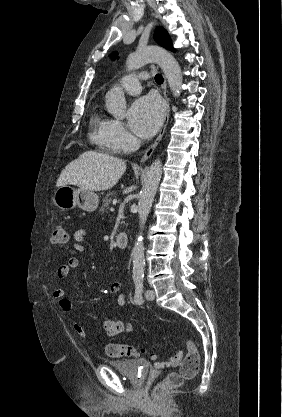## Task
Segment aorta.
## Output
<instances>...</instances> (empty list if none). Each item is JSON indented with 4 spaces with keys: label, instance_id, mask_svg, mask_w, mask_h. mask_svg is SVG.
Returning a JSON list of instances; mask_svg holds the SVG:
<instances>
[{
    "label": "aorta",
    "instance_id": "aorta-1",
    "mask_svg": "<svg viewBox=\"0 0 282 417\" xmlns=\"http://www.w3.org/2000/svg\"><path fill=\"white\" fill-rule=\"evenodd\" d=\"M155 60L162 68L172 90L173 96H180L182 90V72L179 62L174 58L171 52L161 48V46H147V48H137L136 52L129 54L126 60L127 70H136L144 66L146 62ZM105 102L108 112H111L115 118H124L126 112V100L123 88L121 86H112L106 92ZM162 174V162L156 158L152 162L144 180V184L138 196V217L139 233L134 243L132 251V277L133 279H143L145 271L144 257V237L143 231L147 217L150 213L154 196L157 192L159 180Z\"/></svg>",
    "mask_w": 282,
    "mask_h": 417
}]
</instances>
